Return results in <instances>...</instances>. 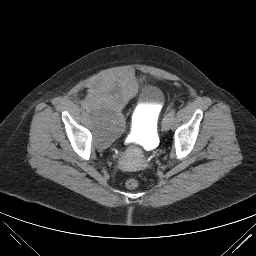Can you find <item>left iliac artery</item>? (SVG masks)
<instances>
[{"label": "left iliac artery", "instance_id": "44dca946", "mask_svg": "<svg viewBox=\"0 0 256 256\" xmlns=\"http://www.w3.org/2000/svg\"><path fill=\"white\" fill-rule=\"evenodd\" d=\"M175 112H176L175 109H171L170 112L167 115L170 116L173 119V117L175 116Z\"/></svg>", "mask_w": 256, "mask_h": 256}]
</instances>
